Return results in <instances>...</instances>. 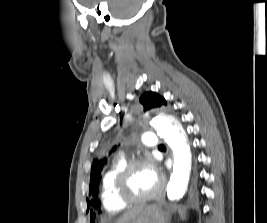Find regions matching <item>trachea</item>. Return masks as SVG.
<instances>
[{
  "mask_svg": "<svg viewBox=\"0 0 267 223\" xmlns=\"http://www.w3.org/2000/svg\"><path fill=\"white\" fill-rule=\"evenodd\" d=\"M159 147H164V145H163V144H161V145H159Z\"/></svg>",
  "mask_w": 267,
  "mask_h": 223,
  "instance_id": "3493384b",
  "label": "trachea"
}]
</instances>
